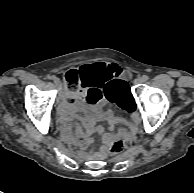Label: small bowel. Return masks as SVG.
Wrapping results in <instances>:
<instances>
[{
  "instance_id": "c3829d8e",
  "label": "small bowel",
  "mask_w": 194,
  "mask_h": 193,
  "mask_svg": "<svg viewBox=\"0 0 194 193\" xmlns=\"http://www.w3.org/2000/svg\"><path fill=\"white\" fill-rule=\"evenodd\" d=\"M120 67L115 64L101 63L90 66L80 74L81 89L70 96V102L61 106V118L59 121L63 135L72 143L78 144L84 131H92L96 118H104L108 121L109 131H113L115 125L123 123L124 119L117 117L111 110L101 111L103 102L100 88L111 83L120 76ZM77 113L84 114L83 128L77 129V136L73 138L70 132V124L77 118ZM112 133H109L111 135Z\"/></svg>"
}]
</instances>
